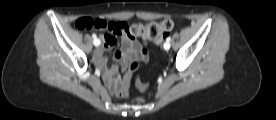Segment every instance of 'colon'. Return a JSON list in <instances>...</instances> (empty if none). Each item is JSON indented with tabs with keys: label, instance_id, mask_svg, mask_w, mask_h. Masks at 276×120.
Wrapping results in <instances>:
<instances>
[{
	"label": "colon",
	"instance_id": "1",
	"mask_svg": "<svg viewBox=\"0 0 276 120\" xmlns=\"http://www.w3.org/2000/svg\"><path fill=\"white\" fill-rule=\"evenodd\" d=\"M107 25V22L99 18L83 17L79 18L74 22V26L79 30L89 29H103ZM174 23L171 19L166 18L163 21L157 23L152 22L148 24L134 23L126 25L124 32L127 36L131 37H142L148 39L153 43L159 44L166 35L173 29ZM140 67L138 61H133L124 79L117 85L116 96L118 98H126L129 93L130 80ZM136 86L140 91H145L148 85L142 83L139 79L136 80ZM141 102L142 100L139 99Z\"/></svg>",
	"mask_w": 276,
	"mask_h": 120
}]
</instances>
